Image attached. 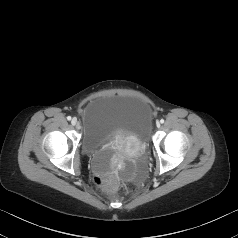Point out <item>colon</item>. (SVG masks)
Returning <instances> with one entry per match:
<instances>
[{
    "label": "colon",
    "mask_w": 238,
    "mask_h": 238,
    "mask_svg": "<svg viewBox=\"0 0 238 238\" xmlns=\"http://www.w3.org/2000/svg\"><path fill=\"white\" fill-rule=\"evenodd\" d=\"M95 182L98 186H100L103 190L107 192H114L119 188V182L114 177L96 176Z\"/></svg>",
    "instance_id": "obj_1"
}]
</instances>
